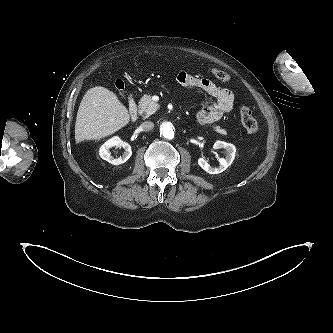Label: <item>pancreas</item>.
Instances as JSON below:
<instances>
[{
    "instance_id": "obj_1",
    "label": "pancreas",
    "mask_w": 333,
    "mask_h": 333,
    "mask_svg": "<svg viewBox=\"0 0 333 333\" xmlns=\"http://www.w3.org/2000/svg\"><path fill=\"white\" fill-rule=\"evenodd\" d=\"M139 114L144 117L148 118L150 115L156 112V110L159 108V105L152 101L151 95H143L142 98L139 101ZM213 130L221 135H226V130L221 128L218 125L212 126Z\"/></svg>"
}]
</instances>
